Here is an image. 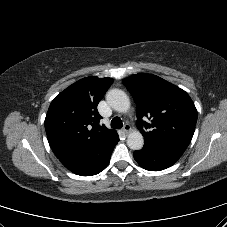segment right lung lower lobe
I'll list each match as a JSON object with an SVG mask.
<instances>
[{
	"label": "right lung lower lobe",
	"instance_id": "98d812e1",
	"mask_svg": "<svg viewBox=\"0 0 227 227\" xmlns=\"http://www.w3.org/2000/svg\"><path fill=\"white\" fill-rule=\"evenodd\" d=\"M119 137L116 133L111 138L104 140L79 156L60 159L61 163L71 172L90 176L100 173L110 161V157Z\"/></svg>",
	"mask_w": 227,
	"mask_h": 227
}]
</instances>
